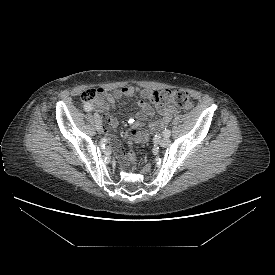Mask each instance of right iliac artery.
I'll return each instance as SVG.
<instances>
[{
  "mask_svg": "<svg viewBox=\"0 0 275 275\" xmlns=\"http://www.w3.org/2000/svg\"><path fill=\"white\" fill-rule=\"evenodd\" d=\"M84 110L87 111V112H90V111L93 110V107H92L90 104L85 103V104H84ZM95 114H97V113H95ZM95 114H94V115H95Z\"/></svg>",
  "mask_w": 275,
  "mask_h": 275,
  "instance_id": "obj_1",
  "label": "right iliac artery"
}]
</instances>
